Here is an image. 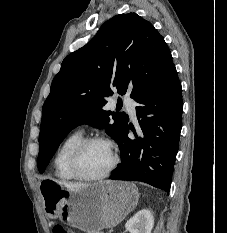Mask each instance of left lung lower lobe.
<instances>
[{
    "label": "left lung lower lobe",
    "instance_id": "obj_1",
    "mask_svg": "<svg viewBox=\"0 0 227 233\" xmlns=\"http://www.w3.org/2000/svg\"><path fill=\"white\" fill-rule=\"evenodd\" d=\"M140 130L125 128L119 142L121 163L112 180L141 181L169 192L182 128V89L173 65L146 94L135 99ZM132 130L136 139L128 137Z\"/></svg>",
    "mask_w": 227,
    "mask_h": 233
}]
</instances>
